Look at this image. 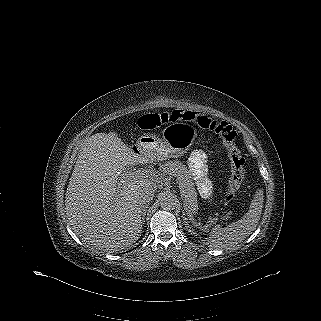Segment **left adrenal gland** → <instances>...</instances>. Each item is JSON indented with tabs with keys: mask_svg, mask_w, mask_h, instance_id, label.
Wrapping results in <instances>:
<instances>
[{
	"mask_svg": "<svg viewBox=\"0 0 321 321\" xmlns=\"http://www.w3.org/2000/svg\"><path fill=\"white\" fill-rule=\"evenodd\" d=\"M184 223H187V222H186V218H184ZM185 225H186V224H185Z\"/></svg>",
	"mask_w": 321,
	"mask_h": 321,
	"instance_id": "obj_1",
	"label": "left adrenal gland"
}]
</instances>
